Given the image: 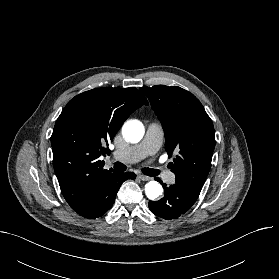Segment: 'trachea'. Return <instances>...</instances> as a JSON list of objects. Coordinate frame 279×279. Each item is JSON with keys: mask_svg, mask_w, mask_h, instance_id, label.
<instances>
[{"mask_svg": "<svg viewBox=\"0 0 279 279\" xmlns=\"http://www.w3.org/2000/svg\"><path fill=\"white\" fill-rule=\"evenodd\" d=\"M114 169L117 170V171H125L126 166L123 163L115 162L114 163ZM142 172L145 175H148V176H157L159 174L158 170L150 169V168H143Z\"/></svg>", "mask_w": 279, "mask_h": 279, "instance_id": "3493384b", "label": "trachea"}]
</instances>
